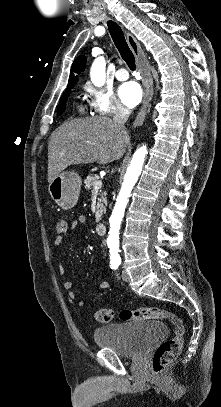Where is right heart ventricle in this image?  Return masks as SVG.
<instances>
[{
    "label": "right heart ventricle",
    "instance_id": "right-heart-ventricle-1",
    "mask_svg": "<svg viewBox=\"0 0 221 407\" xmlns=\"http://www.w3.org/2000/svg\"><path fill=\"white\" fill-rule=\"evenodd\" d=\"M77 110H78V112H80V113H84V112H85V107H84V105L79 104V105L77 106Z\"/></svg>",
    "mask_w": 221,
    "mask_h": 407
}]
</instances>
